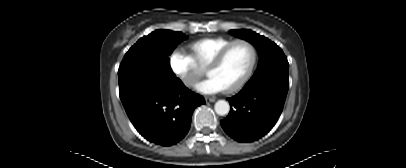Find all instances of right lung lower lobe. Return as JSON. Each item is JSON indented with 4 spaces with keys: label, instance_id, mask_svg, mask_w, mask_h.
Segmentation results:
<instances>
[{
    "label": "right lung lower lobe",
    "instance_id": "98d812e1",
    "mask_svg": "<svg viewBox=\"0 0 406 168\" xmlns=\"http://www.w3.org/2000/svg\"><path fill=\"white\" fill-rule=\"evenodd\" d=\"M121 101L136 130L162 146L182 140L189 131L194 109L205 103L178 78L138 90Z\"/></svg>",
    "mask_w": 406,
    "mask_h": 168
}]
</instances>
